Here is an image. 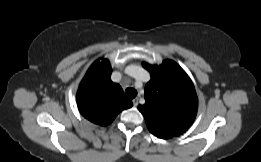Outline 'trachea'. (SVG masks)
<instances>
[{"label":"trachea","instance_id":"1","mask_svg":"<svg viewBox=\"0 0 261 162\" xmlns=\"http://www.w3.org/2000/svg\"><path fill=\"white\" fill-rule=\"evenodd\" d=\"M125 96L128 98V99H133L137 96V91L133 88H127L125 90Z\"/></svg>","mask_w":261,"mask_h":162}]
</instances>
